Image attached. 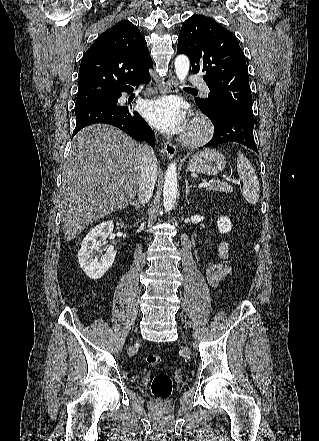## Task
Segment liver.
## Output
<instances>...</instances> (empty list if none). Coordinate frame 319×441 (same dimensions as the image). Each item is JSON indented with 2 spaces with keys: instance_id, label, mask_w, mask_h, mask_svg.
I'll return each instance as SVG.
<instances>
[{
  "instance_id": "6515ba94",
  "label": "liver",
  "mask_w": 319,
  "mask_h": 441,
  "mask_svg": "<svg viewBox=\"0 0 319 441\" xmlns=\"http://www.w3.org/2000/svg\"><path fill=\"white\" fill-rule=\"evenodd\" d=\"M140 146L106 124L90 125L74 136L62 169L61 215L66 241L92 222L132 203L140 181Z\"/></svg>"
}]
</instances>
